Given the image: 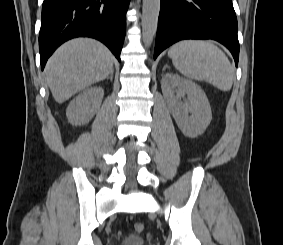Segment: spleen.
I'll return each mask as SVG.
<instances>
[{"mask_svg": "<svg viewBox=\"0 0 283 245\" xmlns=\"http://www.w3.org/2000/svg\"><path fill=\"white\" fill-rule=\"evenodd\" d=\"M174 67L185 77L206 81L221 91H229L234 69L225 53L210 41L182 40L168 51Z\"/></svg>", "mask_w": 283, "mask_h": 245, "instance_id": "obj_1", "label": "spleen"}]
</instances>
